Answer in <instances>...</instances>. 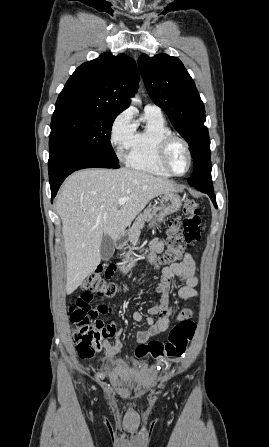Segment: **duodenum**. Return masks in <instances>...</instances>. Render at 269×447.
Returning a JSON list of instances; mask_svg holds the SVG:
<instances>
[{
    "label": "duodenum",
    "instance_id": "410a0bca",
    "mask_svg": "<svg viewBox=\"0 0 269 447\" xmlns=\"http://www.w3.org/2000/svg\"><path fill=\"white\" fill-rule=\"evenodd\" d=\"M123 236V234L121 233L120 235H119V238H121Z\"/></svg>",
    "mask_w": 269,
    "mask_h": 447
}]
</instances>
